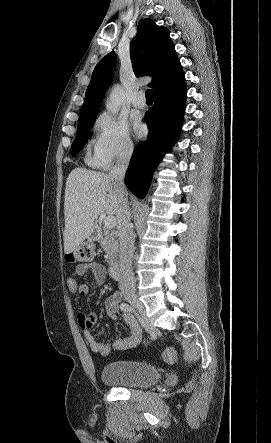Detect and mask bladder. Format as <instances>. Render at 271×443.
Here are the masks:
<instances>
[{"instance_id": "obj_1", "label": "bladder", "mask_w": 271, "mask_h": 443, "mask_svg": "<svg viewBox=\"0 0 271 443\" xmlns=\"http://www.w3.org/2000/svg\"><path fill=\"white\" fill-rule=\"evenodd\" d=\"M161 378L159 370L146 362L118 360L103 366L101 380L115 387H144L157 383Z\"/></svg>"}]
</instances>
